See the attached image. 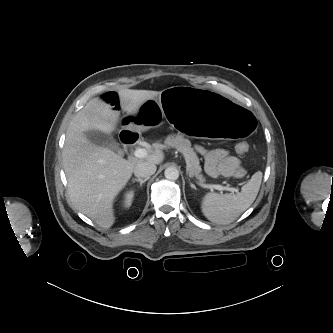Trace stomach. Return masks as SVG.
<instances>
[{
	"mask_svg": "<svg viewBox=\"0 0 333 333\" xmlns=\"http://www.w3.org/2000/svg\"><path fill=\"white\" fill-rule=\"evenodd\" d=\"M168 121L179 130L205 140L243 142L255 130L253 111L242 103H229L219 95L189 86L165 88L144 98L123 122L127 130L141 133Z\"/></svg>",
	"mask_w": 333,
	"mask_h": 333,
	"instance_id": "0dacf381",
	"label": "stomach"
}]
</instances>
